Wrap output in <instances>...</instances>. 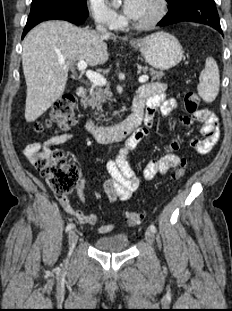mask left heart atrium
I'll use <instances>...</instances> for the list:
<instances>
[{
	"label": "left heart atrium",
	"mask_w": 232,
	"mask_h": 311,
	"mask_svg": "<svg viewBox=\"0 0 232 311\" xmlns=\"http://www.w3.org/2000/svg\"><path fill=\"white\" fill-rule=\"evenodd\" d=\"M144 0H124L123 11L129 18H135L143 7Z\"/></svg>",
	"instance_id": "left-heart-atrium-1"
}]
</instances>
